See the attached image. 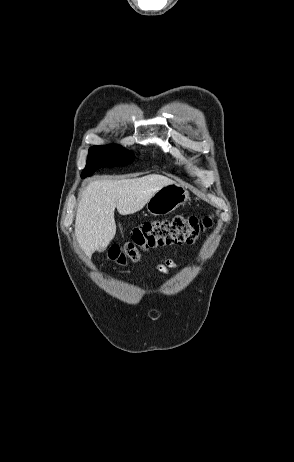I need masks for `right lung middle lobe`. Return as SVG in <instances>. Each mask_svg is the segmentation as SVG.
Instances as JSON below:
<instances>
[{
  "label": "right lung middle lobe",
  "instance_id": "obj_1",
  "mask_svg": "<svg viewBox=\"0 0 294 462\" xmlns=\"http://www.w3.org/2000/svg\"><path fill=\"white\" fill-rule=\"evenodd\" d=\"M105 154L114 158L120 165H126L133 161L134 155L131 152H128L123 147L118 145H107V146H92L89 149L88 159L96 154ZM87 159V161H88ZM87 164L82 174L87 173Z\"/></svg>",
  "mask_w": 294,
  "mask_h": 462
}]
</instances>
